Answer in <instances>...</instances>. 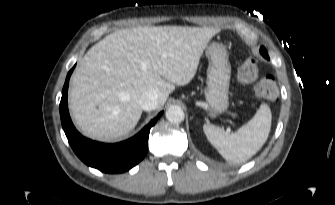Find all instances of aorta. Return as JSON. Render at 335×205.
<instances>
[{"label": "aorta", "mask_w": 335, "mask_h": 205, "mask_svg": "<svg viewBox=\"0 0 335 205\" xmlns=\"http://www.w3.org/2000/svg\"><path fill=\"white\" fill-rule=\"evenodd\" d=\"M165 116L171 123H180L184 120L185 114L180 106L172 105L166 110Z\"/></svg>", "instance_id": "762f6f07"}]
</instances>
